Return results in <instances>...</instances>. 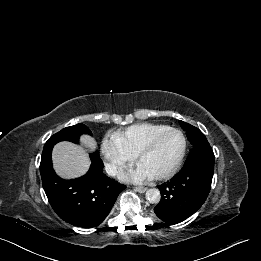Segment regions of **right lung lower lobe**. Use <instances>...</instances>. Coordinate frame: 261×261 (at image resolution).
Segmentation results:
<instances>
[{"instance_id":"98d812e1","label":"right lung lower lobe","mask_w":261,"mask_h":261,"mask_svg":"<svg viewBox=\"0 0 261 261\" xmlns=\"http://www.w3.org/2000/svg\"><path fill=\"white\" fill-rule=\"evenodd\" d=\"M51 151L43 149L40 173L54 211L61 219L78 227L91 228L102 223L126 186L103 173L104 165L97 152L90 155L91 167L84 176L61 179L52 168Z\"/></svg>"}]
</instances>
